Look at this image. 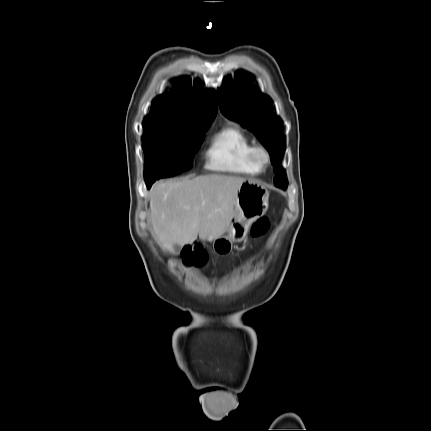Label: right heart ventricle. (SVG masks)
<instances>
[{"label":"right heart ventricle","mask_w":431,"mask_h":431,"mask_svg":"<svg viewBox=\"0 0 431 431\" xmlns=\"http://www.w3.org/2000/svg\"><path fill=\"white\" fill-rule=\"evenodd\" d=\"M252 146V140L241 128L226 126L211 139L206 152V167L219 172L257 175L262 169L250 159Z\"/></svg>","instance_id":"e07e8e85"}]
</instances>
